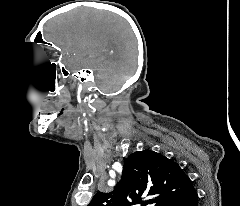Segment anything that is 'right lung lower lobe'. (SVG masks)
<instances>
[{
	"mask_svg": "<svg viewBox=\"0 0 240 206\" xmlns=\"http://www.w3.org/2000/svg\"><path fill=\"white\" fill-rule=\"evenodd\" d=\"M165 206H198V194L192 186L186 193L172 199Z\"/></svg>",
	"mask_w": 240,
	"mask_h": 206,
	"instance_id": "obj_1",
	"label": "right lung lower lobe"
}]
</instances>
